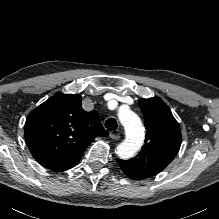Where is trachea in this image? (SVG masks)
<instances>
[{"mask_svg":"<svg viewBox=\"0 0 219 219\" xmlns=\"http://www.w3.org/2000/svg\"><path fill=\"white\" fill-rule=\"evenodd\" d=\"M105 127L110 129H117V121L114 118H109L105 122Z\"/></svg>","mask_w":219,"mask_h":219,"instance_id":"obj_1","label":"trachea"}]
</instances>
